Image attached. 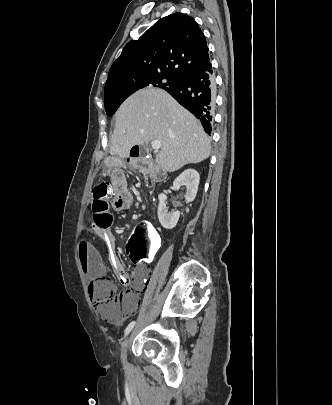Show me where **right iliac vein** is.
<instances>
[{
    "instance_id": "63e3f726",
    "label": "right iliac vein",
    "mask_w": 332,
    "mask_h": 405,
    "mask_svg": "<svg viewBox=\"0 0 332 405\" xmlns=\"http://www.w3.org/2000/svg\"><path fill=\"white\" fill-rule=\"evenodd\" d=\"M130 339H131V337L129 336L128 338H126V340H125V341L123 342V344H122V349H121V351H122V357H123V360H124V361L126 360L127 348H128Z\"/></svg>"
}]
</instances>
